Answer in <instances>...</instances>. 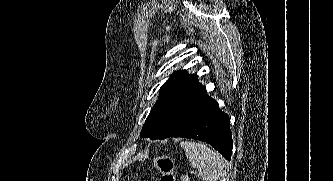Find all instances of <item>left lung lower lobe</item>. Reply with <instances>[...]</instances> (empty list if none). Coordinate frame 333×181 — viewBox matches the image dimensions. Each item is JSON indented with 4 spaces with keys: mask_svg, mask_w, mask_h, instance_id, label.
Returning <instances> with one entry per match:
<instances>
[{
    "mask_svg": "<svg viewBox=\"0 0 333 181\" xmlns=\"http://www.w3.org/2000/svg\"><path fill=\"white\" fill-rule=\"evenodd\" d=\"M229 116L219 109L218 103L211 99L193 118L174 136L197 139L212 145L224 158L231 159L232 134ZM152 140L162 139L159 134Z\"/></svg>",
    "mask_w": 333,
    "mask_h": 181,
    "instance_id": "0a47b994",
    "label": "left lung lower lobe"
}]
</instances>
